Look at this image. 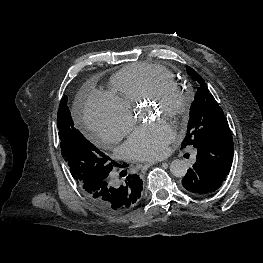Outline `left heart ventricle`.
<instances>
[{
	"mask_svg": "<svg viewBox=\"0 0 263 263\" xmlns=\"http://www.w3.org/2000/svg\"><path fill=\"white\" fill-rule=\"evenodd\" d=\"M150 105H151V107H150L151 113H154L156 115V114L161 112L160 107H158L154 104H150Z\"/></svg>",
	"mask_w": 263,
	"mask_h": 263,
	"instance_id": "left-heart-ventricle-1",
	"label": "left heart ventricle"
}]
</instances>
